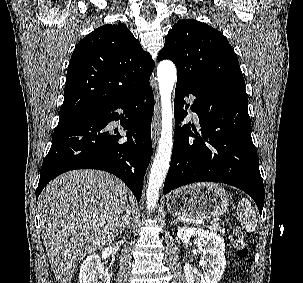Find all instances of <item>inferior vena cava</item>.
Here are the masks:
<instances>
[{"label":"inferior vena cava","instance_id":"inferior-vena-cava-1","mask_svg":"<svg viewBox=\"0 0 303 283\" xmlns=\"http://www.w3.org/2000/svg\"><path fill=\"white\" fill-rule=\"evenodd\" d=\"M127 211H129V208H128V206H127V208H126V212H127Z\"/></svg>","mask_w":303,"mask_h":283}]
</instances>
